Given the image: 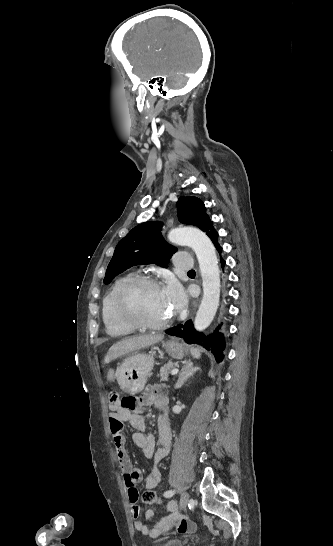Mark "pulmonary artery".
I'll use <instances>...</instances> for the list:
<instances>
[{"instance_id":"e3ab8cb5","label":"pulmonary artery","mask_w":333,"mask_h":546,"mask_svg":"<svg viewBox=\"0 0 333 546\" xmlns=\"http://www.w3.org/2000/svg\"><path fill=\"white\" fill-rule=\"evenodd\" d=\"M174 265L182 270H189L192 268V260L189 255L178 252L174 255Z\"/></svg>"}]
</instances>
